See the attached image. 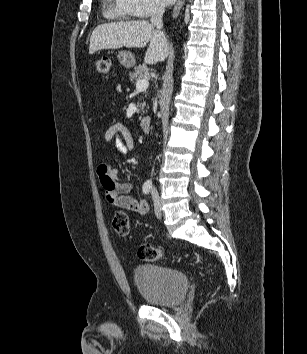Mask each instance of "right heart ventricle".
Wrapping results in <instances>:
<instances>
[{
  "mask_svg": "<svg viewBox=\"0 0 307 354\" xmlns=\"http://www.w3.org/2000/svg\"><path fill=\"white\" fill-rule=\"evenodd\" d=\"M104 16L109 19H130L136 15L127 0H105Z\"/></svg>",
  "mask_w": 307,
  "mask_h": 354,
  "instance_id": "1",
  "label": "right heart ventricle"
}]
</instances>
